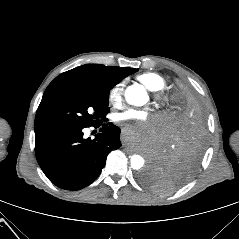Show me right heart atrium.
<instances>
[{
  "instance_id": "d8ad5b80",
  "label": "right heart atrium",
  "mask_w": 239,
  "mask_h": 239,
  "mask_svg": "<svg viewBox=\"0 0 239 239\" xmlns=\"http://www.w3.org/2000/svg\"><path fill=\"white\" fill-rule=\"evenodd\" d=\"M123 100V83L115 84L108 92V101L113 106H119Z\"/></svg>"
}]
</instances>
